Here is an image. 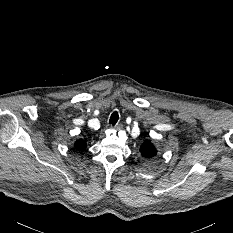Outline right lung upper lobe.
Returning <instances> with one entry per match:
<instances>
[{"instance_id":"right-lung-upper-lobe-1","label":"right lung upper lobe","mask_w":233,"mask_h":233,"mask_svg":"<svg viewBox=\"0 0 233 233\" xmlns=\"http://www.w3.org/2000/svg\"><path fill=\"white\" fill-rule=\"evenodd\" d=\"M86 146V141L83 139L77 140L74 144L75 149H77L78 151H83L86 148Z\"/></svg>"}]
</instances>
